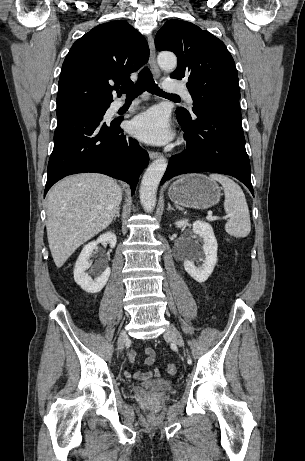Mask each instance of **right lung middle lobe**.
I'll list each match as a JSON object with an SVG mask.
<instances>
[{
    "instance_id": "dd1d6c3e",
    "label": "right lung middle lobe",
    "mask_w": 305,
    "mask_h": 461,
    "mask_svg": "<svg viewBox=\"0 0 305 461\" xmlns=\"http://www.w3.org/2000/svg\"><path fill=\"white\" fill-rule=\"evenodd\" d=\"M109 105L110 104H103V103L83 104V105H76V106L57 109V112L63 111V110H75V111H86L88 113H103V112H106Z\"/></svg>"
}]
</instances>
